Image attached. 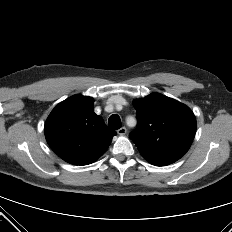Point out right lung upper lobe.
<instances>
[{
  "mask_svg": "<svg viewBox=\"0 0 232 232\" xmlns=\"http://www.w3.org/2000/svg\"><path fill=\"white\" fill-rule=\"evenodd\" d=\"M44 129L52 150L74 165L95 162L116 135L94 113L93 98L82 95L71 96L56 105Z\"/></svg>",
  "mask_w": 232,
  "mask_h": 232,
  "instance_id": "obj_1",
  "label": "right lung upper lobe"
}]
</instances>
